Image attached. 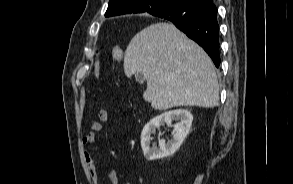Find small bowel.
I'll list each match as a JSON object with an SVG mask.
<instances>
[{
  "instance_id": "c3829d8e",
  "label": "small bowel",
  "mask_w": 293,
  "mask_h": 184,
  "mask_svg": "<svg viewBox=\"0 0 293 184\" xmlns=\"http://www.w3.org/2000/svg\"><path fill=\"white\" fill-rule=\"evenodd\" d=\"M109 117H110L109 112L107 110L105 109L99 110L98 121H92L90 123V130L84 135L82 139L83 145L90 146L95 142L97 133L100 132L102 129V123L107 122L109 120ZM85 160H86L87 168H88L92 181L95 184H99L98 172H97L92 154L89 151L85 152ZM108 176H109L111 184L119 183L117 172L114 169L109 170ZM126 184H132V183L128 182Z\"/></svg>"
}]
</instances>
